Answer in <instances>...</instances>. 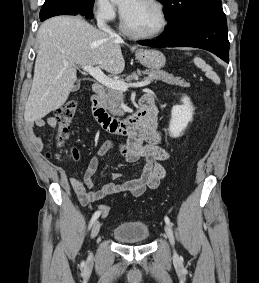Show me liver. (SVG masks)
Returning a JSON list of instances; mask_svg holds the SVG:
<instances>
[{
  "label": "liver",
  "mask_w": 259,
  "mask_h": 283,
  "mask_svg": "<svg viewBox=\"0 0 259 283\" xmlns=\"http://www.w3.org/2000/svg\"><path fill=\"white\" fill-rule=\"evenodd\" d=\"M39 49L24 119L32 123L60 108L77 80L78 66L120 74L125 67L119 39L94 28L82 17L56 16L38 31Z\"/></svg>",
  "instance_id": "liver-1"
}]
</instances>
